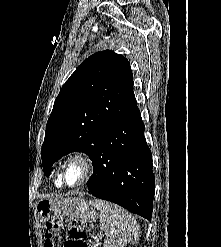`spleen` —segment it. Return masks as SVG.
<instances>
[{"mask_svg":"<svg viewBox=\"0 0 221 247\" xmlns=\"http://www.w3.org/2000/svg\"><path fill=\"white\" fill-rule=\"evenodd\" d=\"M100 210V229L105 240L103 247H124L130 242L137 244L139 233L135 218L120 206L98 201Z\"/></svg>","mask_w":221,"mask_h":247,"instance_id":"spleen-1","label":"spleen"}]
</instances>
